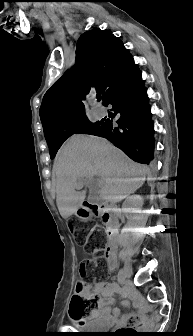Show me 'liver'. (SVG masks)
I'll use <instances>...</instances> for the list:
<instances>
[{"label": "liver", "mask_w": 193, "mask_h": 336, "mask_svg": "<svg viewBox=\"0 0 193 336\" xmlns=\"http://www.w3.org/2000/svg\"><path fill=\"white\" fill-rule=\"evenodd\" d=\"M53 171L56 176V203L67 219L82 206L86 190L82 179L101 177L97 186L100 199L116 203L133 194L146 180L149 169L132 161L104 138L76 135L59 150Z\"/></svg>", "instance_id": "liver-1"}]
</instances>
